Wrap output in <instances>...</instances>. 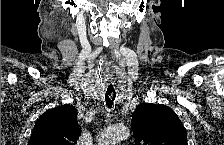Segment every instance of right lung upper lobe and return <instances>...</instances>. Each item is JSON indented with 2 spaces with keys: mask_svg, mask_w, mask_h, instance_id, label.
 Returning a JSON list of instances; mask_svg holds the SVG:
<instances>
[{
  "mask_svg": "<svg viewBox=\"0 0 224 145\" xmlns=\"http://www.w3.org/2000/svg\"><path fill=\"white\" fill-rule=\"evenodd\" d=\"M77 110L66 104L48 110L36 122L29 145H73L81 134Z\"/></svg>",
  "mask_w": 224,
  "mask_h": 145,
  "instance_id": "1",
  "label": "right lung upper lobe"
}]
</instances>
